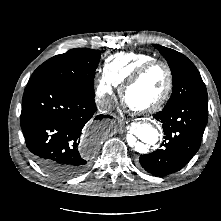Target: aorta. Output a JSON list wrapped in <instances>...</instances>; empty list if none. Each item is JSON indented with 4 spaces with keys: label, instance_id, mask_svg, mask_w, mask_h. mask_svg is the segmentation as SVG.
I'll use <instances>...</instances> for the list:
<instances>
[{
    "label": "aorta",
    "instance_id": "aorta-1",
    "mask_svg": "<svg viewBox=\"0 0 221 221\" xmlns=\"http://www.w3.org/2000/svg\"><path fill=\"white\" fill-rule=\"evenodd\" d=\"M140 141H135L133 138H128L130 146L134 147L135 151L144 153L146 151V144H155L158 141L159 132L150 123H138L133 127L132 131ZM143 143H142V142Z\"/></svg>",
    "mask_w": 221,
    "mask_h": 221
}]
</instances>
